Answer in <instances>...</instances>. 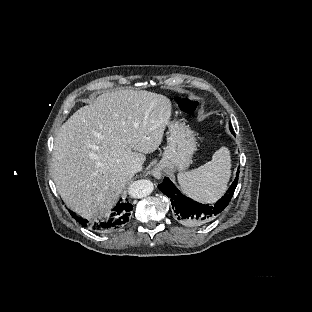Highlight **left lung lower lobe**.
<instances>
[{
	"label": "left lung lower lobe",
	"instance_id": "1",
	"mask_svg": "<svg viewBox=\"0 0 312 312\" xmlns=\"http://www.w3.org/2000/svg\"><path fill=\"white\" fill-rule=\"evenodd\" d=\"M239 170L236 178L225 195L214 205H205L184 196L168 179L158 185L159 189L170 198L172 214L176 221L190 227L200 228L211 223L228 205L237 186Z\"/></svg>",
	"mask_w": 312,
	"mask_h": 312
}]
</instances>
